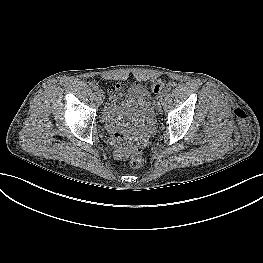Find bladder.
I'll list each match as a JSON object with an SVG mask.
<instances>
[{"label": "bladder", "mask_w": 263, "mask_h": 263, "mask_svg": "<svg viewBox=\"0 0 263 263\" xmlns=\"http://www.w3.org/2000/svg\"><path fill=\"white\" fill-rule=\"evenodd\" d=\"M145 104L139 95H132L124 99L121 108L115 107L114 114L121 113L126 120H133L138 114L144 112Z\"/></svg>", "instance_id": "bladder-1"}]
</instances>
